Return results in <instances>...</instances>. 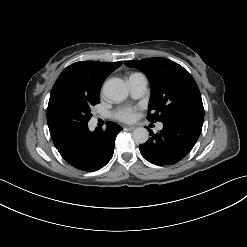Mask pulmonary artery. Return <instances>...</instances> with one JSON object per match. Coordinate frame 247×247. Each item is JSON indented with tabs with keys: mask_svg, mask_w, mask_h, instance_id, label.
I'll list each match as a JSON object with an SVG mask.
<instances>
[{
	"mask_svg": "<svg viewBox=\"0 0 247 247\" xmlns=\"http://www.w3.org/2000/svg\"><path fill=\"white\" fill-rule=\"evenodd\" d=\"M147 78L141 73H134L128 78L130 94L133 98L137 99L144 95L147 88ZM163 125L159 123L158 129H162Z\"/></svg>",
	"mask_w": 247,
	"mask_h": 247,
	"instance_id": "e3ab8cb5",
	"label": "pulmonary artery"
}]
</instances>
